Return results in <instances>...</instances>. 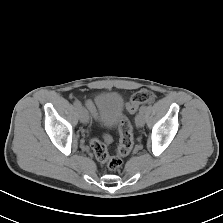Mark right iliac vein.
Instances as JSON below:
<instances>
[{
    "label": "right iliac vein",
    "instance_id": "1",
    "mask_svg": "<svg viewBox=\"0 0 223 223\" xmlns=\"http://www.w3.org/2000/svg\"><path fill=\"white\" fill-rule=\"evenodd\" d=\"M78 111H79L80 121H81L83 124L88 123V120H89L88 111H87L84 107H80V108L78 109Z\"/></svg>",
    "mask_w": 223,
    "mask_h": 223
}]
</instances>
